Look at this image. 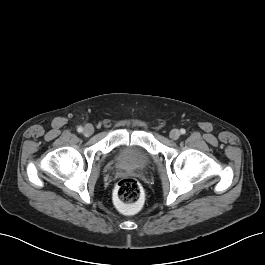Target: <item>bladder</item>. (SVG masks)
<instances>
[{
    "label": "bladder",
    "mask_w": 265,
    "mask_h": 265,
    "mask_svg": "<svg viewBox=\"0 0 265 265\" xmlns=\"http://www.w3.org/2000/svg\"><path fill=\"white\" fill-rule=\"evenodd\" d=\"M116 161L126 167L144 168L151 162V154L143 147L124 146L117 150Z\"/></svg>",
    "instance_id": "31cf9c89"
}]
</instances>
